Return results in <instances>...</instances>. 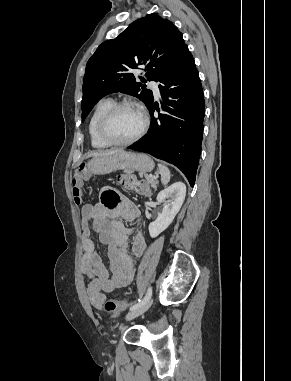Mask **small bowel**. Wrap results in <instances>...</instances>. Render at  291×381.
<instances>
[{
    "label": "small bowel",
    "instance_id": "small-bowel-1",
    "mask_svg": "<svg viewBox=\"0 0 291 381\" xmlns=\"http://www.w3.org/2000/svg\"><path fill=\"white\" fill-rule=\"evenodd\" d=\"M112 190L102 193V200L96 204L84 205L81 209L82 249L80 260L81 272L89 279L87 295L91 305L102 309L106 294L127 286L133 280L135 267L128 254L129 237L132 236L131 251L139 258L146 249L145 240L138 224L139 209L128 199L123 198L118 204L108 205L105 199H114ZM120 218L135 225L128 228ZM91 230L97 232L99 241L108 248V265H104L91 237Z\"/></svg>",
    "mask_w": 291,
    "mask_h": 381
}]
</instances>
